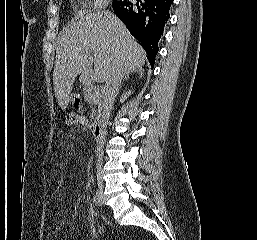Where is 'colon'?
<instances>
[{
    "mask_svg": "<svg viewBox=\"0 0 257 240\" xmlns=\"http://www.w3.org/2000/svg\"><path fill=\"white\" fill-rule=\"evenodd\" d=\"M70 103L73 106H78L80 104V95L77 92H73L70 96Z\"/></svg>",
    "mask_w": 257,
    "mask_h": 240,
    "instance_id": "obj_1",
    "label": "colon"
}]
</instances>
